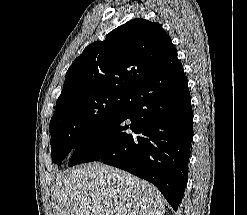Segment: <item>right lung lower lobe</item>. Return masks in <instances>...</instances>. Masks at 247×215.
<instances>
[{
    "instance_id": "1",
    "label": "right lung lower lobe",
    "mask_w": 247,
    "mask_h": 215,
    "mask_svg": "<svg viewBox=\"0 0 247 215\" xmlns=\"http://www.w3.org/2000/svg\"><path fill=\"white\" fill-rule=\"evenodd\" d=\"M193 113L188 83L174 51L130 95L124 111L83 138L68 165L102 161L153 183L176 211L188 180Z\"/></svg>"
}]
</instances>
